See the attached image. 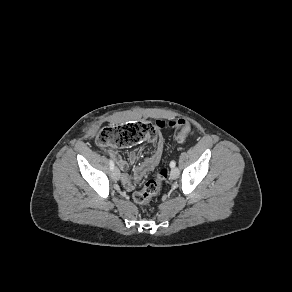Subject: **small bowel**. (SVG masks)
<instances>
[{
    "instance_id": "1",
    "label": "small bowel",
    "mask_w": 292,
    "mask_h": 292,
    "mask_svg": "<svg viewBox=\"0 0 292 292\" xmlns=\"http://www.w3.org/2000/svg\"><path fill=\"white\" fill-rule=\"evenodd\" d=\"M149 141L153 142L154 144L153 153L134 168L132 178L126 172L128 169V162L115 151H109V155L115 160L117 166L122 171L121 182L128 191H132L135 187V182L140 181L147 173L154 170L161 161L164 148V142L162 138L158 135L155 140ZM137 160L138 153L136 150H132L129 154V161L131 163H135Z\"/></svg>"
}]
</instances>
